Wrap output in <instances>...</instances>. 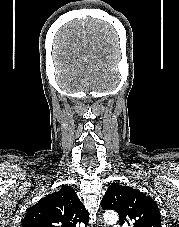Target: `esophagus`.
Wrapping results in <instances>:
<instances>
[{
	"instance_id": "34e87169",
	"label": "esophagus",
	"mask_w": 179,
	"mask_h": 227,
	"mask_svg": "<svg viewBox=\"0 0 179 227\" xmlns=\"http://www.w3.org/2000/svg\"><path fill=\"white\" fill-rule=\"evenodd\" d=\"M97 224H98L99 227H106V224L104 223L101 215H98Z\"/></svg>"
}]
</instances>
